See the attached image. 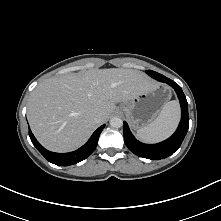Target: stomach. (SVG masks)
Listing matches in <instances>:
<instances>
[{
    "label": "stomach",
    "instance_id": "1",
    "mask_svg": "<svg viewBox=\"0 0 221 221\" xmlns=\"http://www.w3.org/2000/svg\"><path fill=\"white\" fill-rule=\"evenodd\" d=\"M170 97L171 92L166 86L157 85L123 102L120 111L125 114L132 128L137 130L150 124L159 115Z\"/></svg>",
    "mask_w": 221,
    "mask_h": 221
}]
</instances>
